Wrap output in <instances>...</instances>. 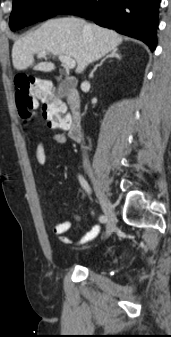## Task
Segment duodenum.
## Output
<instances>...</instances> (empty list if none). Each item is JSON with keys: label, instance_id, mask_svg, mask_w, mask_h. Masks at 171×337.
<instances>
[{"label": "duodenum", "instance_id": "410a0bca", "mask_svg": "<svg viewBox=\"0 0 171 337\" xmlns=\"http://www.w3.org/2000/svg\"><path fill=\"white\" fill-rule=\"evenodd\" d=\"M67 103L69 107V124L68 133L72 140L80 141L82 137L81 124H80V96L78 91L73 87L69 86L67 89Z\"/></svg>", "mask_w": 171, "mask_h": 337}]
</instances>
